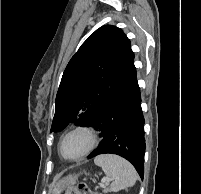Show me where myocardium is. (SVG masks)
I'll return each instance as SVG.
<instances>
[{
  "mask_svg": "<svg viewBox=\"0 0 201 194\" xmlns=\"http://www.w3.org/2000/svg\"><path fill=\"white\" fill-rule=\"evenodd\" d=\"M85 133L89 137V144L87 148L78 156L67 157L63 154L62 146L67 137L75 133ZM100 141V135L98 129L90 124H78L68 129L60 138L58 144V152L60 156L67 161H79L86 158L98 145Z\"/></svg>",
  "mask_w": 201,
  "mask_h": 194,
  "instance_id": "f54148a6",
  "label": "myocardium"
}]
</instances>
